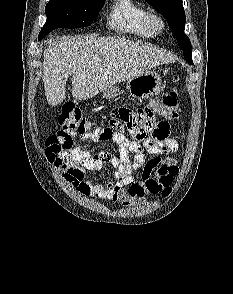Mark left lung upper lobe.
Listing matches in <instances>:
<instances>
[{"label": "left lung upper lobe", "mask_w": 233, "mask_h": 294, "mask_svg": "<svg viewBox=\"0 0 233 294\" xmlns=\"http://www.w3.org/2000/svg\"><path fill=\"white\" fill-rule=\"evenodd\" d=\"M155 8L167 20L173 36L177 39L179 47L183 50L184 58L189 64H193L191 43L184 33L185 11L182 0H145Z\"/></svg>", "instance_id": "obj_1"}]
</instances>
